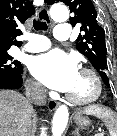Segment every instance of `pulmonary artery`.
<instances>
[{
  "mask_svg": "<svg viewBox=\"0 0 117 136\" xmlns=\"http://www.w3.org/2000/svg\"><path fill=\"white\" fill-rule=\"evenodd\" d=\"M70 36V31L67 25L60 23L56 26L54 37L57 40H67ZM51 46V41L45 36L33 35L30 41L25 45L24 49L29 52H41L47 50Z\"/></svg>",
  "mask_w": 117,
  "mask_h": 136,
  "instance_id": "e3ab8cb5",
  "label": "pulmonary artery"
}]
</instances>
